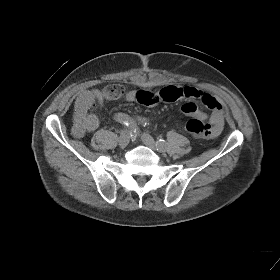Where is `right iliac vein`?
<instances>
[{
	"mask_svg": "<svg viewBox=\"0 0 280 280\" xmlns=\"http://www.w3.org/2000/svg\"><path fill=\"white\" fill-rule=\"evenodd\" d=\"M130 141V134L127 130L121 131L120 137L118 139L120 147L124 148L128 145Z\"/></svg>",
	"mask_w": 280,
	"mask_h": 280,
	"instance_id": "63e3f726",
	"label": "right iliac vein"
}]
</instances>
